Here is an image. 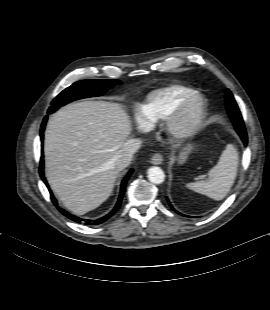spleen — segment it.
<instances>
[{
	"instance_id": "spleen-1",
	"label": "spleen",
	"mask_w": 270,
	"mask_h": 310,
	"mask_svg": "<svg viewBox=\"0 0 270 310\" xmlns=\"http://www.w3.org/2000/svg\"><path fill=\"white\" fill-rule=\"evenodd\" d=\"M239 156L232 144L227 145L218 163L209 171L210 179L188 183L187 187L214 200H222L234 184Z\"/></svg>"
}]
</instances>
